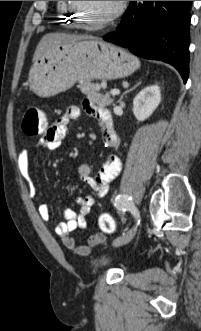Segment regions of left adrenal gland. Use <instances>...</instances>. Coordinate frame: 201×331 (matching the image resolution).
<instances>
[{"label":"left adrenal gland","instance_id":"1","mask_svg":"<svg viewBox=\"0 0 201 331\" xmlns=\"http://www.w3.org/2000/svg\"><path fill=\"white\" fill-rule=\"evenodd\" d=\"M140 84H141V82H138L134 87H132L131 89L125 91V92L121 95V97H120V99L118 100V102L120 103V102L122 101L124 95H126L128 92H131L132 90H134V89H135L137 86H139Z\"/></svg>","mask_w":201,"mask_h":331}]
</instances>
